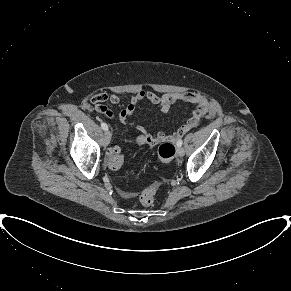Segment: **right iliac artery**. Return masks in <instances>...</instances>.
Masks as SVG:
<instances>
[{"label": "right iliac artery", "mask_w": 291, "mask_h": 291, "mask_svg": "<svg viewBox=\"0 0 291 291\" xmlns=\"http://www.w3.org/2000/svg\"><path fill=\"white\" fill-rule=\"evenodd\" d=\"M101 127H102V129L105 130V131L108 130V126H107V124L104 123V122L101 123Z\"/></svg>", "instance_id": "1"}]
</instances>
